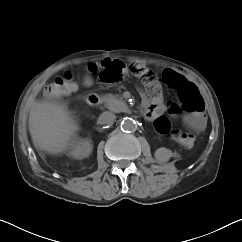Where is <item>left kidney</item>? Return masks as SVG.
Wrapping results in <instances>:
<instances>
[{"label": "left kidney", "instance_id": "obj_1", "mask_svg": "<svg viewBox=\"0 0 242 242\" xmlns=\"http://www.w3.org/2000/svg\"><path fill=\"white\" fill-rule=\"evenodd\" d=\"M154 156L157 162L163 163L167 162L170 159V157L173 156V154L169 149L161 147L155 151Z\"/></svg>", "mask_w": 242, "mask_h": 242}]
</instances>
